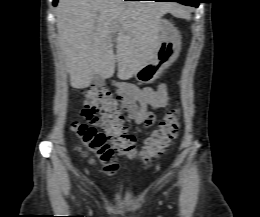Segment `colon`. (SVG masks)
Returning <instances> with one entry per match:
<instances>
[{"instance_id":"1","label":"colon","mask_w":260,"mask_h":217,"mask_svg":"<svg viewBox=\"0 0 260 217\" xmlns=\"http://www.w3.org/2000/svg\"><path fill=\"white\" fill-rule=\"evenodd\" d=\"M82 96L81 115L87 121H75L72 124L80 141L78 149L84 155L91 154L98 160L107 174H113L117 170V156L151 164L176 137L180 128L179 112L172 110L161 120L144 147L136 150L134 138L124 125V117L112 93L104 89L89 88L83 91ZM96 114L101 116L100 125L104 132L98 129Z\"/></svg>"}]
</instances>
